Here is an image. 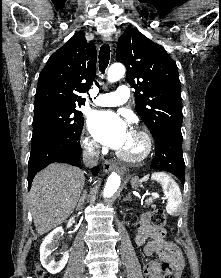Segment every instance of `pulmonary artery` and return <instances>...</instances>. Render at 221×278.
Returning a JSON list of instances; mask_svg holds the SVG:
<instances>
[{"instance_id": "pulmonary-artery-1", "label": "pulmonary artery", "mask_w": 221, "mask_h": 278, "mask_svg": "<svg viewBox=\"0 0 221 278\" xmlns=\"http://www.w3.org/2000/svg\"><path fill=\"white\" fill-rule=\"evenodd\" d=\"M129 98V89L127 86H119L115 92L101 94L97 96L94 103L102 107H112L124 104Z\"/></svg>"}]
</instances>
